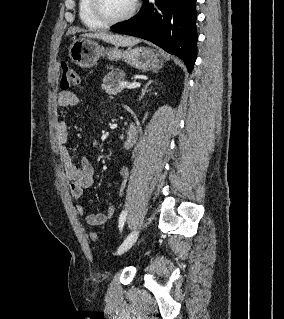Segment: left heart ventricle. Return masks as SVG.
Wrapping results in <instances>:
<instances>
[{"instance_id": "left-heart-ventricle-1", "label": "left heart ventricle", "mask_w": 284, "mask_h": 319, "mask_svg": "<svg viewBox=\"0 0 284 319\" xmlns=\"http://www.w3.org/2000/svg\"><path fill=\"white\" fill-rule=\"evenodd\" d=\"M105 14L111 18L123 15L130 8L132 0H101Z\"/></svg>"}]
</instances>
